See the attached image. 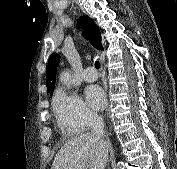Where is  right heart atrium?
<instances>
[{"label":"right heart atrium","instance_id":"d8ad5b80","mask_svg":"<svg viewBox=\"0 0 177 169\" xmlns=\"http://www.w3.org/2000/svg\"><path fill=\"white\" fill-rule=\"evenodd\" d=\"M53 111L59 128L69 135L84 131L98 119V115L77 94L63 89L55 93Z\"/></svg>","mask_w":177,"mask_h":169}]
</instances>
